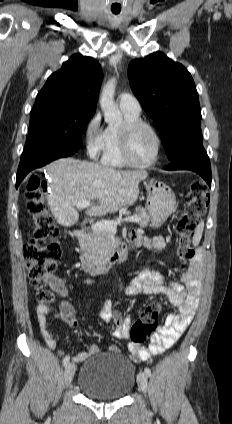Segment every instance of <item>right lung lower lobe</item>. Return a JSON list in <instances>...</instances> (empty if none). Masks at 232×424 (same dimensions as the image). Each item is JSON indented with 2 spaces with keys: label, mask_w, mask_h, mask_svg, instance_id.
I'll return each mask as SVG.
<instances>
[{
  "label": "right lung lower lobe",
  "mask_w": 232,
  "mask_h": 424,
  "mask_svg": "<svg viewBox=\"0 0 232 424\" xmlns=\"http://www.w3.org/2000/svg\"><path fill=\"white\" fill-rule=\"evenodd\" d=\"M78 150V148L71 147H44L33 151L26 157H21L17 171L16 188L31 170L42 167L58 158L71 156Z\"/></svg>",
  "instance_id": "right-lung-lower-lobe-1"
}]
</instances>
